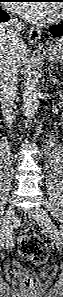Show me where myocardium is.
<instances>
[{
	"label": "myocardium",
	"mask_w": 63,
	"mask_h": 297,
	"mask_svg": "<svg viewBox=\"0 0 63 297\" xmlns=\"http://www.w3.org/2000/svg\"><path fill=\"white\" fill-rule=\"evenodd\" d=\"M58 16H59V12H58V10L55 8V9H54V12H53V17H52V19H56Z\"/></svg>",
	"instance_id": "1"
}]
</instances>
